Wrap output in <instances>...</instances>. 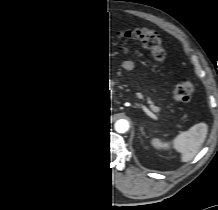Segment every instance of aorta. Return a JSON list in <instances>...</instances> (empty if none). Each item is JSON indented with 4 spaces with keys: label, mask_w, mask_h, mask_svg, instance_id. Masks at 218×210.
Returning a JSON list of instances; mask_svg holds the SVG:
<instances>
[{
    "label": "aorta",
    "mask_w": 218,
    "mask_h": 210,
    "mask_svg": "<svg viewBox=\"0 0 218 210\" xmlns=\"http://www.w3.org/2000/svg\"><path fill=\"white\" fill-rule=\"evenodd\" d=\"M114 128L118 133H125L129 129V122L125 119L117 120L114 124Z\"/></svg>",
    "instance_id": "obj_1"
}]
</instances>
